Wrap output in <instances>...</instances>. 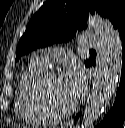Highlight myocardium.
<instances>
[{
    "mask_svg": "<svg viewBox=\"0 0 125 128\" xmlns=\"http://www.w3.org/2000/svg\"><path fill=\"white\" fill-rule=\"evenodd\" d=\"M56 76L58 75L55 71L44 70L37 76L31 87L32 97L37 108L49 120H59L65 118L72 114L76 108L75 101H73L69 107L62 110H54L46 103L43 96V87L48 80Z\"/></svg>",
    "mask_w": 125,
    "mask_h": 128,
    "instance_id": "obj_1",
    "label": "myocardium"
}]
</instances>
